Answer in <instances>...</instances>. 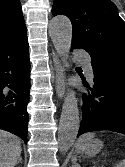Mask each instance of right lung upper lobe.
I'll use <instances>...</instances> for the list:
<instances>
[{
  "label": "right lung upper lobe",
  "mask_w": 125,
  "mask_h": 167,
  "mask_svg": "<svg viewBox=\"0 0 125 167\" xmlns=\"http://www.w3.org/2000/svg\"><path fill=\"white\" fill-rule=\"evenodd\" d=\"M26 37L20 0H0V44Z\"/></svg>",
  "instance_id": "1"
}]
</instances>
